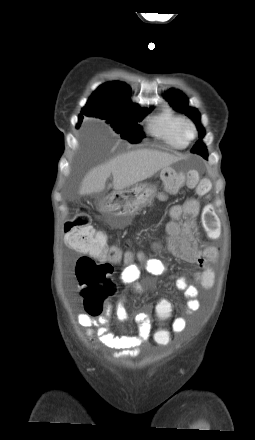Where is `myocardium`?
Listing matches in <instances>:
<instances>
[{
    "mask_svg": "<svg viewBox=\"0 0 255 440\" xmlns=\"http://www.w3.org/2000/svg\"><path fill=\"white\" fill-rule=\"evenodd\" d=\"M180 135L188 143L197 136L196 125L191 120H184L180 127Z\"/></svg>",
    "mask_w": 255,
    "mask_h": 440,
    "instance_id": "1",
    "label": "myocardium"
}]
</instances>
